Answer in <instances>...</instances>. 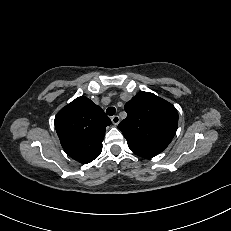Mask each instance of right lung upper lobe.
<instances>
[{
	"instance_id": "1",
	"label": "right lung upper lobe",
	"mask_w": 231,
	"mask_h": 231,
	"mask_svg": "<svg viewBox=\"0 0 231 231\" xmlns=\"http://www.w3.org/2000/svg\"><path fill=\"white\" fill-rule=\"evenodd\" d=\"M110 124L111 120L104 111L84 96L73 100L55 116V127L63 149L82 164L99 156L105 128Z\"/></svg>"
}]
</instances>
